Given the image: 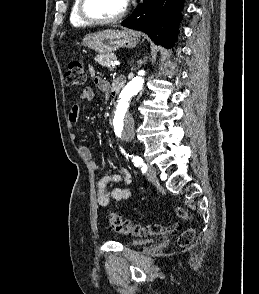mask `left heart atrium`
Listing matches in <instances>:
<instances>
[{
  "instance_id": "left-heart-atrium-1",
  "label": "left heart atrium",
  "mask_w": 259,
  "mask_h": 294,
  "mask_svg": "<svg viewBox=\"0 0 259 294\" xmlns=\"http://www.w3.org/2000/svg\"><path fill=\"white\" fill-rule=\"evenodd\" d=\"M129 0H123L124 4L127 5Z\"/></svg>"
}]
</instances>
